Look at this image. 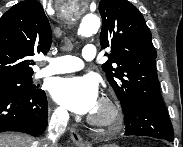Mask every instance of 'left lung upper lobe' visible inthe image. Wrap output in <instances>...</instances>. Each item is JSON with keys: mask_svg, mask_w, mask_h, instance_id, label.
Segmentation results:
<instances>
[{"mask_svg": "<svg viewBox=\"0 0 183 147\" xmlns=\"http://www.w3.org/2000/svg\"><path fill=\"white\" fill-rule=\"evenodd\" d=\"M101 47L111 48L102 65L122 108L138 100L162 101L156 50L141 12L127 0H101Z\"/></svg>", "mask_w": 183, "mask_h": 147, "instance_id": "left-lung-upper-lobe-1", "label": "left lung upper lobe"}]
</instances>
